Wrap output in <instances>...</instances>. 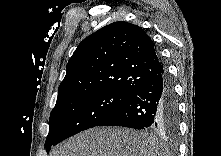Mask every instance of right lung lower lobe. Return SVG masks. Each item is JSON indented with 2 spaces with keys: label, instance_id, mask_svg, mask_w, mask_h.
I'll return each mask as SVG.
<instances>
[{
  "label": "right lung lower lobe",
  "instance_id": "obj_1",
  "mask_svg": "<svg viewBox=\"0 0 221 156\" xmlns=\"http://www.w3.org/2000/svg\"><path fill=\"white\" fill-rule=\"evenodd\" d=\"M179 114L177 98L166 70L144 82L119 108L98 126L176 132Z\"/></svg>",
  "mask_w": 221,
  "mask_h": 156
}]
</instances>
